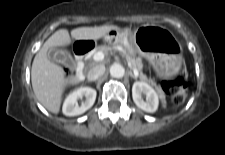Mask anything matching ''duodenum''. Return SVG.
<instances>
[{"instance_id":"1","label":"duodenum","mask_w":225,"mask_h":155,"mask_svg":"<svg viewBox=\"0 0 225 155\" xmlns=\"http://www.w3.org/2000/svg\"><path fill=\"white\" fill-rule=\"evenodd\" d=\"M91 49H92V46L85 42H79L74 47L76 63H77V77L79 80L83 79V69H84L85 58Z\"/></svg>"}]
</instances>
